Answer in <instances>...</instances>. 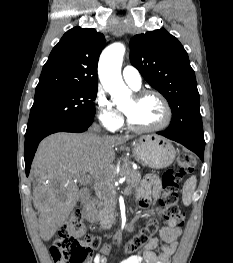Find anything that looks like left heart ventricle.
Wrapping results in <instances>:
<instances>
[{"mask_svg": "<svg viewBox=\"0 0 233 263\" xmlns=\"http://www.w3.org/2000/svg\"><path fill=\"white\" fill-rule=\"evenodd\" d=\"M131 122L139 127H152L160 124L165 118L163 105L158 98L147 96L136 100L134 96L122 109Z\"/></svg>", "mask_w": 233, "mask_h": 263, "instance_id": "1", "label": "left heart ventricle"}]
</instances>
